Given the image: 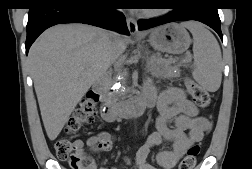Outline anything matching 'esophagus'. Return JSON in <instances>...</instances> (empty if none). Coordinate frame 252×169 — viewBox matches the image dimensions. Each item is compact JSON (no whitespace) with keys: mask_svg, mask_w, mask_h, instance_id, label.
Returning <instances> with one entry per match:
<instances>
[{"mask_svg":"<svg viewBox=\"0 0 252 169\" xmlns=\"http://www.w3.org/2000/svg\"><path fill=\"white\" fill-rule=\"evenodd\" d=\"M127 26L131 35H136L138 33V26L137 21L133 18L128 16L126 18Z\"/></svg>","mask_w":252,"mask_h":169,"instance_id":"1","label":"esophagus"}]
</instances>
